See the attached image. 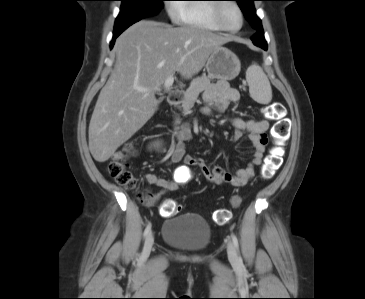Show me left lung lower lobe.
I'll list each match as a JSON object with an SVG mask.
<instances>
[{
    "mask_svg": "<svg viewBox=\"0 0 365 299\" xmlns=\"http://www.w3.org/2000/svg\"><path fill=\"white\" fill-rule=\"evenodd\" d=\"M254 45L261 47L264 50H267V43L264 39L263 31H258L256 34L251 38Z\"/></svg>",
    "mask_w": 365,
    "mask_h": 299,
    "instance_id": "obj_1",
    "label": "left lung lower lobe"
}]
</instances>
